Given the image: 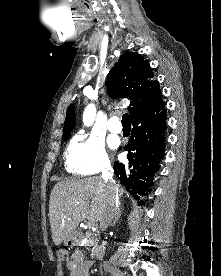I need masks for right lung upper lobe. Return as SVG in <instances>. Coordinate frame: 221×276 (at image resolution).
Wrapping results in <instances>:
<instances>
[{"mask_svg":"<svg viewBox=\"0 0 221 276\" xmlns=\"http://www.w3.org/2000/svg\"><path fill=\"white\" fill-rule=\"evenodd\" d=\"M147 60L134 52L121 55L109 72L108 93L111 98H128L131 118L143 114L162 102V93ZM76 115L71 104L66 114L63 139L67 140L75 125Z\"/></svg>","mask_w":221,"mask_h":276,"instance_id":"cb5924a9","label":"right lung upper lobe"}]
</instances>
